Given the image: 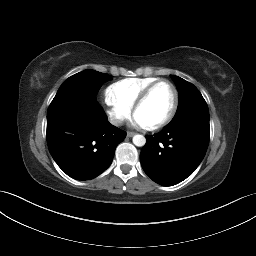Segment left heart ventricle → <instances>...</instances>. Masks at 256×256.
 I'll return each mask as SVG.
<instances>
[{"label": "left heart ventricle", "instance_id": "b2bd125f", "mask_svg": "<svg viewBox=\"0 0 256 256\" xmlns=\"http://www.w3.org/2000/svg\"><path fill=\"white\" fill-rule=\"evenodd\" d=\"M174 100L172 88L162 83L149 95L146 102L136 111L144 126L152 125L162 120L170 111Z\"/></svg>", "mask_w": 256, "mask_h": 256}]
</instances>
